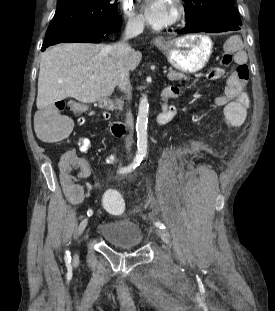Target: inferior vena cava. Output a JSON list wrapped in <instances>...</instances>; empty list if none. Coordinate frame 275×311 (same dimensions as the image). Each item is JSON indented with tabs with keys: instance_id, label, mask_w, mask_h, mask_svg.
I'll return each mask as SVG.
<instances>
[{
	"instance_id": "inferior-vena-cava-1",
	"label": "inferior vena cava",
	"mask_w": 275,
	"mask_h": 311,
	"mask_svg": "<svg viewBox=\"0 0 275 311\" xmlns=\"http://www.w3.org/2000/svg\"><path fill=\"white\" fill-rule=\"evenodd\" d=\"M144 23L140 20L129 21L126 28L123 41L110 46L112 56L116 60L117 73H118V87L127 95V99H131V85L129 79V66H128V56L131 53V47L127 44V40L136 37L143 32ZM126 124L130 128V134L126 138V148L129 151L132 140L133 133V116L129 110L126 114Z\"/></svg>"
}]
</instances>
